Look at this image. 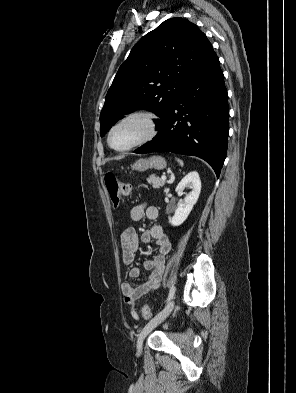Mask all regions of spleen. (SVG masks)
Listing matches in <instances>:
<instances>
[{"label":"spleen","instance_id":"obj_1","mask_svg":"<svg viewBox=\"0 0 296 393\" xmlns=\"http://www.w3.org/2000/svg\"><path fill=\"white\" fill-rule=\"evenodd\" d=\"M176 160L179 163V165L183 166V161L182 160H180V159H176Z\"/></svg>","mask_w":296,"mask_h":393}]
</instances>
